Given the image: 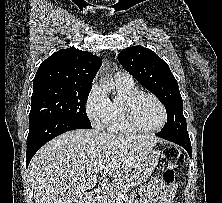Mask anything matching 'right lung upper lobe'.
<instances>
[{"mask_svg":"<svg viewBox=\"0 0 222 203\" xmlns=\"http://www.w3.org/2000/svg\"><path fill=\"white\" fill-rule=\"evenodd\" d=\"M102 60L74 47L59 50L41 63L33 80V91L53 86L92 87Z\"/></svg>","mask_w":222,"mask_h":203,"instance_id":"obj_1","label":"right lung upper lobe"}]
</instances>
